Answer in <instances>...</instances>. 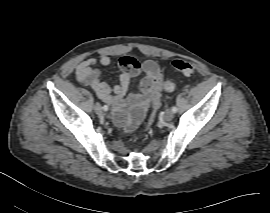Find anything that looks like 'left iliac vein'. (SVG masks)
Returning a JSON list of instances; mask_svg holds the SVG:
<instances>
[{"instance_id": "obj_1", "label": "left iliac vein", "mask_w": 270, "mask_h": 213, "mask_svg": "<svg viewBox=\"0 0 270 213\" xmlns=\"http://www.w3.org/2000/svg\"><path fill=\"white\" fill-rule=\"evenodd\" d=\"M163 118H164L166 121H171V120L174 118V113L172 112V110L167 109V110L164 112Z\"/></svg>"}]
</instances>
